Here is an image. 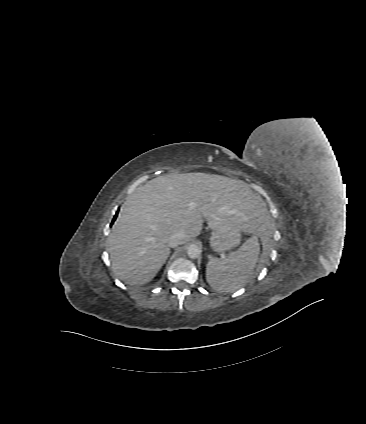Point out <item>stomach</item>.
<instances>
[{"label": "stomach", "mask_w": 366, "mask_h": 424, "mask_svg": "<svg viewBox=\"0 0 366 424\" xmlns=\"http://www.w3.org/2000/svg\"><path fill=\"white\" fill-rule=\"evenodd\" d=\"M241 229L234 226L232 229L217 230L210 239V247L216 252L232 249L240 243Z\"/></svg>", "instance_id": "stomach-1"}]
</instances>
